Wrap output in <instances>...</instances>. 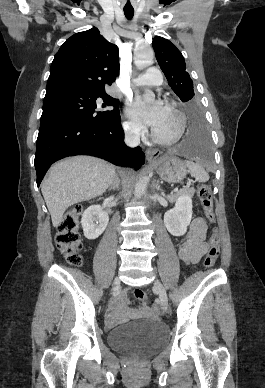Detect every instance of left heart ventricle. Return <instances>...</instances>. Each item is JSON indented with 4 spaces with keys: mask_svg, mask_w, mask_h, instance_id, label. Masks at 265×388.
I'll use <instances>...</instances> for the list:
<instances>
[{
    "mask_svg": "<svg viewBox=\"0 0 265 388\" xmlns=\"http://www.w3.org/2000/svg\"><path fill=\"white\" fill-rule=\"evenodd\" d=\"M141 91H156V88L153 86H140ZM156 130L162 135H171L176 130V119L175 117L167 110H164L161 120L155 125Z\"/></svg>",
    "mask_w": 265,
    "mask_h": 388,
    "instance_id": "left-heart-ventricle-1",
    "label": "left heart ventricle"
}]
</instances>
